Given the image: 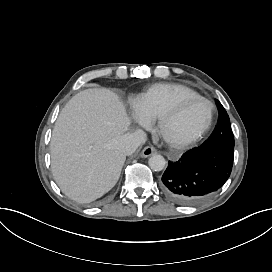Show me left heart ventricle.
<instances>
[{
	"label": "left heart ventricle",
	"mask_w": 272,
	"mask_h": 272,
	"mask_svg": "<svg viewBox=\"0 0 272 272\" xmlns=\"http://www.w3.org/2000/svg\"><path fill=\"white\" fill-rule=\"evenodd\" d=\"M208 107L202 101H192L185 110L172 121L175 131L191 133L202 127L208 118Z\"/></svg>",
	"instance_id": "obj_1"
}]
</instances>
